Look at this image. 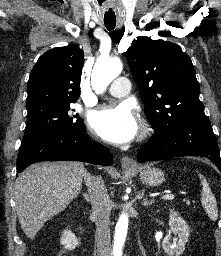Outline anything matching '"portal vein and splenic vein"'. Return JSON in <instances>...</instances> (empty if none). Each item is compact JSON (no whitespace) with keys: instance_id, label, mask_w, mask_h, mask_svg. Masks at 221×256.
I'll use <instances>...</instances> for the list:
<instances>
[{"instance_id":"obj_1","label":"portal vein and splenic vein","mask_w":221,"mask_h":256,"mask_svg":"<svg viewBox=\"0 0 221 256\" xmlns=\"http://www.w3.org/2000/svg\"><path fill=\"white\" fill-rule=\"evenodd\" d=\"M174 198H175V196L173 194H165L161 197V199H163V200H172Z\"/></svg>"}]
</instances>
